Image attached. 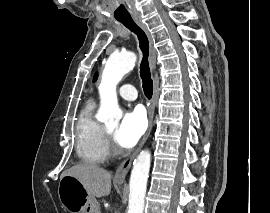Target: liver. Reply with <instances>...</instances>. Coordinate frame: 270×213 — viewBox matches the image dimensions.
<instances>
[{"instance_id": "liver-1", "label": "liver", "mask_w": 270, "mask_h": 213, "mask_svg": "<svg viewBox=\"0 0 270 213\" xmlns=\"http://www.w3.org/2000/svg\"><path fill=\"white\" fill-rule=\"evenodd\" d=\"M73 176L86 188L90 196L101 198L109 195L111 174L107 170L90 163H79L65 170L63 176Z\"/></svg>"}]
</instances>
